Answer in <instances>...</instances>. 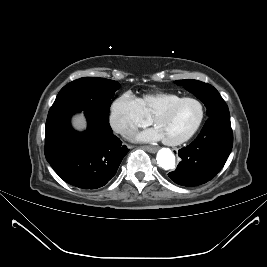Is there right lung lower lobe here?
Listing matches in <instances>:
<instances>
[{
    "label": "right lung lower lobe",
    "mask_w": 267,
    "mask_h": 267,
    "mask_svg": "<svg viewBox=\"0 0 267 267\" xmlns=\"http://www.w3.org/2000/svg\"><path fill=\"white\" fill-rule=\"evenodd\" d=\"M78 111L66 109L47 117L45 157L65 182L97 189L116 174L129 150L113 135L109 118L95 111H84L88 121L85 132L73 130L70 118Z\"/></svg>",
    "instance_id": "obj_1"
}]
</instances>
